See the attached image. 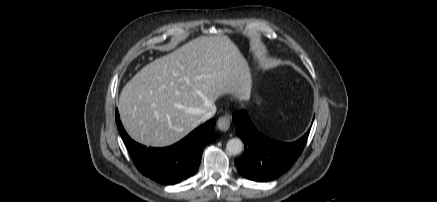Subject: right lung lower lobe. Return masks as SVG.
I'll use <instances>...</instances> for the list:
<instances>
[{
  "mask_svg": "<svg viewBox=\"0 0 437 202\" xmlns=\"http://www.w3.org/2000/svg\"><path fill=\"white\" fill-rule=\"evenodd\" d=\"M116 124L137 169L161 184H177L199 168L203 148L214 140L215 119L207 121L178 143L165 148H147L125 132L116 110Z\"/></svg>",
  "mask_w": 437,
  "mask_h": 202,
  "instance_id": "right-lung-lower-lobe-1",
  "label": "right lung lower lobe"
}]
</instances>
